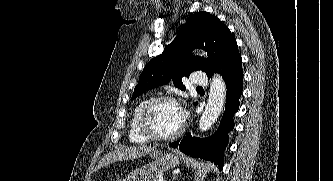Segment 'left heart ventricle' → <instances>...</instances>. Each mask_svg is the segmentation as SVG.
I'll return each mask as SVG.
<instances>
[{
  "mask_svg": "<svg viewBox=\"0 0 333 181\" xmlns=\"http://www.w3.org/2000/svg\"><path fill=\"white\" fill-rule=\"evenodd\" d=\"M150 123L159 134L167 135L175 132L181 126L179 106L170 102L160 103L153 110Z\"/></svg>",
  "mask_w": 333,
  "mask_h": 181,
  "instance_id": "left-heart-ventricle-1",
  "label": "left heart ventricle"
}]
</instances>
